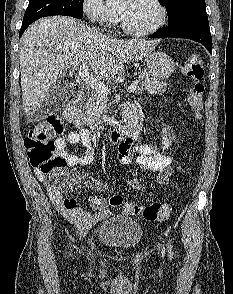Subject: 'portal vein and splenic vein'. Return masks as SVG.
Instances as JSON below:
<instances>
[{"label":"portal vein and splenic vein","mask_w":233,"mask_h":294,"mask_svg":"<svg viewBox=\"0 0 233 294\" xmlns=\"http://www.w3.org/2000/svg\"><path fill=\"white\" fill-rule=\"evenodd\" d=\"M79 76L82 78V80L87 83L88 85H90L96 92L98 93H102L104 95H108L109 94V90L108 87L100 82L99 80H97L93 75H91L88 71V65L86 62L82 63L80 65L79 68ZM139 79H136L132 85L130 87H128L127 91L129 93H133L136 88L137 85L139 83Z\"/></svg>","instance_id":"1"}]
</instances>
